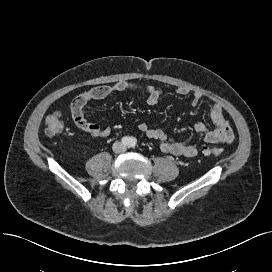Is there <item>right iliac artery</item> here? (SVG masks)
Instances as JSON below:
<instances>
[{
    "label": "right iliac artery",
    "instance_id": "right-iliac-artery-1",
    "mask_svg": "<svg viewBox=\"0 0 272 272\" xmlns=\"http://www.w3.org/2000/svg\"><path fill=\"white\" fill-rule=\"evenodd\" d=\"M121 141L124 145H128L130 140L128 137H123Z\"/></svg>",
    "mask_w": 272,
    "mask_h": 272
}]
</instances>
